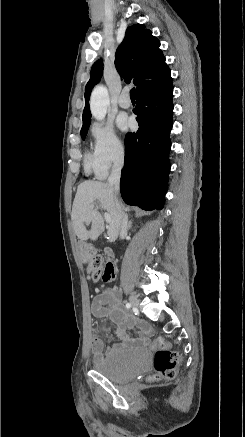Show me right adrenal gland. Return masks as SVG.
I'll return each mask as SVG.
<instances>
[{
    "label": "right adrenal gland",
    "mask_w": 245,
    "mask_h": 437,
    "mask_svg": "<svg viewBox=\"0 0 245 437\" xmlns=\"http://www.w3.org/2000/svg\"><path fill=\"white\" fill-rule=\"evenodd\" d=\"M125 219H126V222H127L128 229H130L132 227V220H128V215L127 214H125Z\"/></svg>",
    "instance_id": "2a0ac1e0"
}]
</instances>
